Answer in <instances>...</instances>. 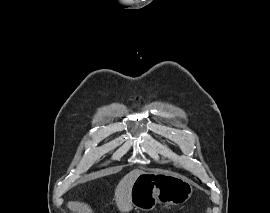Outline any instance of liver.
<instances>
[{"mask_svg": "<svg viewBox=\"0 0 270 213\" xmlns=\"http://www.w3.org/2000/svg\"><path fill=\"white\" fill-rule=\"evenodd\" d=\"M143 173L142 170H132L126 174L116 186L114 200L120 212L128 213L132 210V186L136 178Z\"/></svg>", "mask_w": 270, "mask_h": 213, "instance_id": "liver-1", "label": "liver"}]
</instances>
